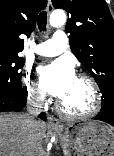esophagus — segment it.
I'll return each mask as SVG.
<instances>
[{"instance_id":"34e87169","label":"esophagus","mask_w":114,"mask_h":156,"mask_svg":"<svg viewBox=\"0 0 114 156\" xmlns=\"http://www.w3.org/2000/svg\"><path fill=\"white\" fill-rule=\"evenodd\" d=\"M52 11H53L52 2H51V0H48L47 12H48V14H51ZM47 119H48L49 126L54 127V128H60L61 127L60 122L56 118H54L52 116H48Z\"/></svg>"}]
</instances>
